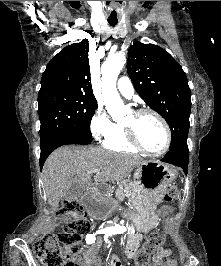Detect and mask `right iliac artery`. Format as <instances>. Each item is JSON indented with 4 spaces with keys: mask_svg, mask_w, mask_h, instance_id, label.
Segmentation results:
<instances>
[{
    "mask_svg": "<svg viewBox=\"0 0 221 266\" xmlns=\"http://www.w3.org/2000/svg\"><path fill=\"white\" fill-rule=\"evenodd\" d=\"M108 231H105V230H99V231H97L96 232V234H105V233H107ZM96 234H93V235H87V237H86V241H87V243L88 244H92V243H95V235Z\"/></svg>",
    "mask_w": 221,
    "mask_h": 266,
    "instance_id": "obj_1",
    "label": "right iliac artery"
}]
</instances>
